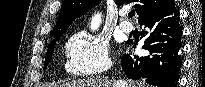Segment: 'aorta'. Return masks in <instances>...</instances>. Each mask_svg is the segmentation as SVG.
<instances>
[{
    "instance_id": "1",
    "label": "aorta",
    "mask_w": 205,
    "mask_h": 87,
    "mask_svg": "<svg viewBox=\"0 0 205 87\" xmlns=\"http://www.w3.org/2000/svg\"><path fill=\"white\" fill-rule=\"evenodd\" d=\"M101 22V14L97 13L92 17L90 27L92 30L98 29Z\"/></svg>"
}]
</instances>
